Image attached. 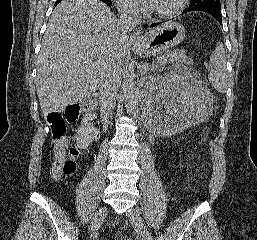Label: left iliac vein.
Here are the masks:
<instances>
[{"label":"left iliac vein","instance_id":"obj_1","mask_svg":"<svg viewBox=\"0 0 257 240\" xmlns=\"http://www.w3.org/2000/svg\"><path fill=\"white\" fill-rule=\"evenodd\" d=\"M126 215L130 223L137 230L142 240H153L151 233L147 230L139 211L135 208H130L127 210Z\"/></svg>","mask_w":257,"mask_h":240}]
</instances>
